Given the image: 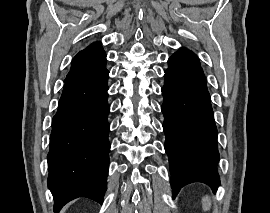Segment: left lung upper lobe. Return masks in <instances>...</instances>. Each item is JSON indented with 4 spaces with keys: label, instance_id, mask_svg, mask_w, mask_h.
Returning a JSON list of instances; mask_svg holds the SVG:
<instances>
[{
    "label": "left lung upper lobe",
    "instance_id": "1",
    "mask_svg": "<svg viewBox=\"0 0 270 213\" xmlns=\"http://www.w3.org/2000/svg\"><path fill=\"white\" fill-rule=\"evenodd\" d=\"M169 67L200 66L198 57L190 50L179 49L168 60Z\"/></svg>",
    "mask_w": 270,
    "mask_h": 213
}]
</instances>
